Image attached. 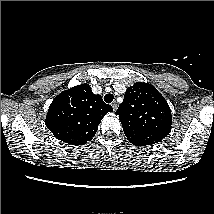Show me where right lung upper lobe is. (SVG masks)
Masks as SVG:
<instances>
[{
	"label": "right lung upper lobe",
	"instance_id": "right-lung-upper-lobe-1",
	"mask_svg": "<svg viewBox=\"0 0 214 214\" xmlns=\"http://www.w3.org/2000/svg\"><path fill=\"white\" fill-rule=\"evenodd\" d=\"M113 108L95 95L87 84L61 92L51 103L45 119L53 135L68 144L83 145L92 140L98 125Z\"/></svg>",
	"mask_w": 214,
	"mask_h": 214
}]
</instances>
